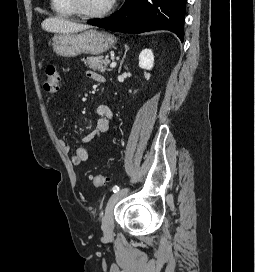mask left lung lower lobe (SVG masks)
Here are the masks:
<instances>
[{
    "instance_id": "left-lung-lower-lobe-1",
    "label": "left lung lower lobe",
    "mask_w": 255,
    "mask_h": 272,
    "mask_svg": "<svg viewBox=\"0 0 255 272\" xmlns=\"http://www.w3.org/2000/svg\"><path fill=\"white\" fill-rule=\"evenodd\" d=\"M187 0H126L122 8L105 19L87 23L123 33L169 30L183 42Z\"/></svg>"
}]
</instances>
